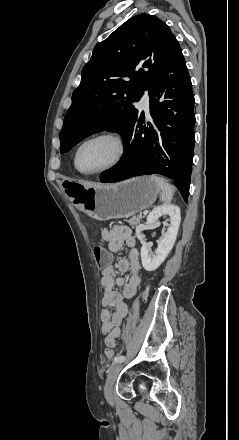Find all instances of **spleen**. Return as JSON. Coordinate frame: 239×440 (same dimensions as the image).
<instances>
[{
    "mask_svg": "<svg viewBox=\"0 0 239 440\" xmlns=\"http://www.w3.org/2000/svg\"><path fill=\"white\" fill-rule=\"evenodd\" d=\"M152 180H154V182H157L158 186H160L161 190H162V194H161V202H165V204H169V202H171L172 198H173V194L176 190L175 186H171V184H167L166 180H164V178H158V176H156V174H154V176H151Z\"/></svg>",
    "mask_w": 239,
    "mask_h": 440,
    "instance_id": "obj_1",
    "label": "spleen"
}]
</instances>
